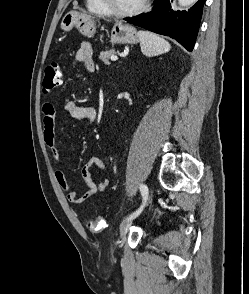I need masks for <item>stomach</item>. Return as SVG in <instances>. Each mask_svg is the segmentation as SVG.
Here are the masks:
<instances>
[{"instance_id":"0dacf381","label":"stomach","mask_w":249,"mask_h":294,"mask_svg":"<svg viewBox=\"0 0 249 294\" xmlns=\"http://www.w3.org/2000/svg\"><path fill=\"white\" fill-rule=\"evenodd\" d=\"M77 28L84 36L92 37L96 32V24L93 18L77 11L68 12L61 21V29L65 32ZM139 41L135 27L117 21L111 31L112 44H135Z\"/></svg>"}]
</instances>
